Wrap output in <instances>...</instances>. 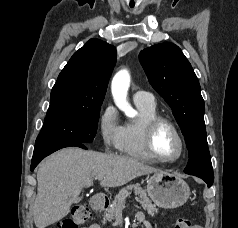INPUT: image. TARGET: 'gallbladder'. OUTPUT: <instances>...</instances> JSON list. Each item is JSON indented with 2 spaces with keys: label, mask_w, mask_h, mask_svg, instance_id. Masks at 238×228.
I'll use <instances>...</instances> for the list:
<instances>
[{
  "label": "gallbladder",
  "mask_w": 238,
  "mask_h": 228,
  "mask_svg": "<svg viewBox=\"0 0 238 228\" xmlns=\"http://www.w3.org/2000/svg\"><path fill=\"white\" fill-rule=\"evenodd\" d=\"M79 200H80V198L78 197L77 200H76V202H78Z\"/></svg>",
  "instance_id": "1"
}]
</instances>
